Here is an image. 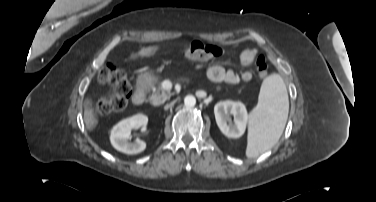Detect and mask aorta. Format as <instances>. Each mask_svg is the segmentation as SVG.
Returning a JSON list of instances; mask_svg holds the SVG:
<instances>
[{"label": "aorta", "mask_w": 376, "mask_h": 202, "mask_svg": "<svg viewBox=\"0 0 376 202\" xmlns=\"http://www.w3.org/2000/svg\"><path fill=\"white\" fill-rule=\"evenodd\" d=\"M184 104L187 107H193L196 104V98L193 95H187L184 99Z\"/></svg>", "instance_id": "762f6f07"}]
</instances>
